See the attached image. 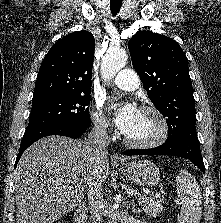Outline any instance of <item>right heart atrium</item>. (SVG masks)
<instances>
[{
	"label": "right heart atrium",
	"instance_id": "obj_1",
	"mask_svg": "<svg viewBox=\"0 0 221 223\" xmlns=\"http://www.w3.org/2000/svg\"><path fill=\"white\" fill-rule=\"evenodd\" d=\"M92 121L94 129L99 134H107L110 130V124L102 115L98 106H95L92 111Z\"/></svg>",
	"mask_w": 221,
	"mask_h": 223
}]
</instances>
